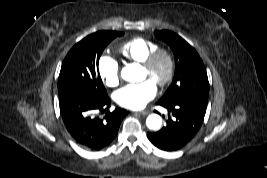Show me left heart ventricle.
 I'll return each mask as SVG.
<instances>
[{
  "label": "left heart ventricle",
  "instance_id": "left-heart-ventricle-1",
  "mask_svg": "<svg viewBox=\"0 0 267 178\" xmlns=\"http://www.w3.org/2000/svg\"><path fill=\"white\" fill-rule=\"evenodd\" d=\"M166 71V60L164 58H160L150 71L142 68V79L148 78L156 83L157 80L162 79L165 76Z\"/></svg>",
  "mask_w": 267,
  "mask_h": 178
}]
</instances>
